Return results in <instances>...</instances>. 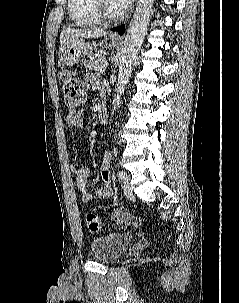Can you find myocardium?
<instances>
[{
	"instance_id": "myocardium-1",
	"label": "myocardium",
	"mask_w": 239,
	"mask_h": 303,
	"mask_svg": "<svg viewBox=\"0 0 239 303\" xmlns=\"http://www.w3.org/2000/svg\"><path fill=\"white\" fill-rule=\"evenodd\" d=\"M94 12L103 21L115 22L120 20L123 16V12L113 13L105 5L104 0H91Z\"/></svg>"
}]
</instances>
